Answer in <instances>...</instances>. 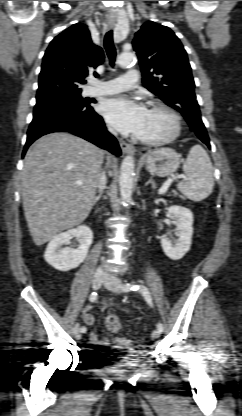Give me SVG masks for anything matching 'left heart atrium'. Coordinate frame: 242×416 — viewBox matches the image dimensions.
Returning a JSON list of instances; mask_svg holds the SVG:
<instances>
[{
  "instance_id": "left-heart-atrium-1",
  "label": "left heart atrium",
  "mask_w": 242,
  "mask_h": 416,
  "mask_svg": "<svg viewBox=\"0 0 242 416\" xmlns=\"http://www.w3.org/2000/svg\"><path fill=\"white\" fill-rule=\"evenodd\" d=\"M101 114L123 134L138 135L147 109L134 99L120 95L103 101Z\"/></svg>"
}]
</instances>
